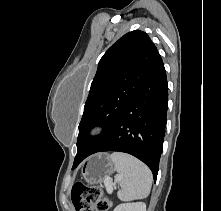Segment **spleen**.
<instances>
[{
  "mask_svg": "<svg viewBox=\"0 0 221 211\" xmlns=\"http://www.w3.org/2000/svg\"><path fill=\"white\" fill-rule=\"evenodd\" d=\"M109 158L120 177L121 189L117 193L118 198L124 201L146 198L153 179L150 169L129 154L115 152Z\"/></svg>",
  "mask_w": 221,
  "mask_h": 211,
  "instance_id": "1",
  "label": "spleen"
}]
</instances>
